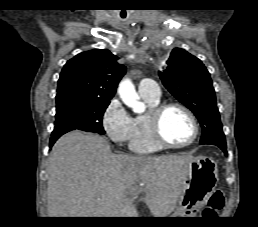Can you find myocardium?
<instances>
[{
  "instance_id": "f54148a6",
  "label": "myocardium",
  "mask_w": 258,
  "mask_h": 227,
  "mask_svg": "<svg viewBox=\"0 0 258 227\" xmlns=\"http://www.w3.org/2000/svg\"><path fill=\"white\" fill-rule=\"evenodd\" d=\"M171 108H177L185 112L189 117L193 126L192 137L184 143H173L166 139L162 132V118L167 110ZM148 122L150 130L155 142L161 147L167 148H183L192 145L199 136V123L194 113L185 105L176 102L158 104L157 106L150 109L148 113Z\"/></svg>"
}]
</instances>
